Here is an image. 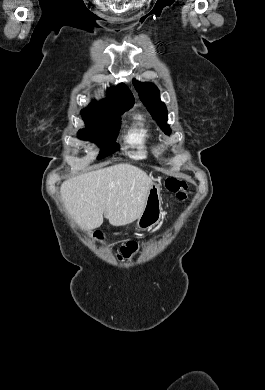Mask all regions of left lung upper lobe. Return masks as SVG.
<instances>
[{
	"instance_id": "left-lung-upper-lobe-1",
	"label": "left lung upper lobe",
	"mask_w": 265,
	"mask_h": 390,
	"mask_svg": "<svg viewBox=\"0 0 265 390\" xmlns=\"http://www.w3.org/2000/svg\"><path fill=\"white\" fill-rule=\"evenodd\" d=\"M133 84L143 104L147 107L152 117L157 121L161 129L170 134L171 130L166 123L168 119L167 108L164 102L160 100L159 89L152 83H141L133 79Z\"/></svg>"
}]
</instances>
